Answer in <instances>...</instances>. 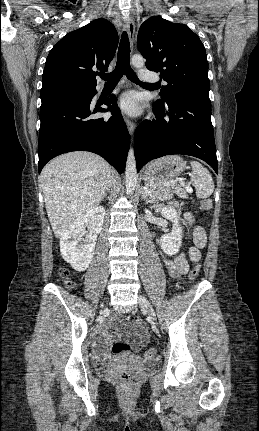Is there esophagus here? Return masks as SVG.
Returning <instances> with one entry per match:
<instances>
[{
	"label": "esophagus",
	"instance_id": "1",
	"mask_svg": "<svg viewBox=\"0 0 259 431\" xmlns=\"http://www.w3.org/2000/svg\"><path fill=\"white\" fill-rule=\"evenodd\" d=\"M126 29H127L130 45L133 46L134 34H135V24H134V21L132 18H129L127 20ZM124 120H125V123H126V126L128 128L129 133L131 135H133L134 130H135V124L130 119H128L127 117H125Z\"/></svg>",
	"mask_w": 259,
	"mask_h": 431
}]
</instances>
